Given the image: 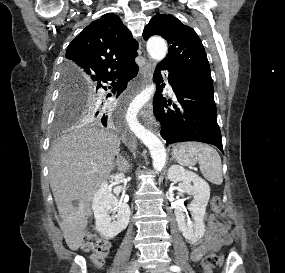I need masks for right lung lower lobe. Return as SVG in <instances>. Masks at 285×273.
Returning <instances> with one entry per match:
<instances>
[{"label":"right lung lower lobe","instance_id":"right-lung-lower-lobe-1","mask_svg":"<svg viewBox=\"0 0 285 273\" xmlns=\"http://www.w3.org/2000/svg\"><path fill=\"white\" fill-rule=\"evenodd\" d=\"M138 73V66L136 63H132L118 71L109 73L108 75L102 77L94 83L96 89L104 88L102 83L112 81L113 93L117 92V95H120L122 91L127 87V83L133 79ZM111 111L103 108L99 121L102 122L104 126H107V123L110 122Z\"/></svg>","mask_w":285,"mask_h":273}]
</instances>
